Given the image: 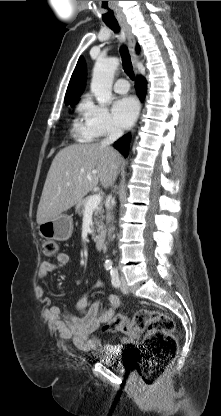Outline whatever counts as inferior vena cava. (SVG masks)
Returning <instances> with one entry per match:
<instances>
[{"label": "inferior vena cava", "mask_w": 221, "mask_h": 416, "mask_svg": "<svg viewBox=\"0 0 221 416\" xmlns=\"http://www.w3.org/2000/svg\"><path fill=\"white\" fill-rule=\"evenodd\" d=\"M123 134V131L118 128L112 126L109 131L106 138H104L101 141V146L105 148H109L110 150H114L110 145L113 144L118 138H120ZM107 210H110V207L107 208ZM108 221L110 220V214L108 213ZM108 236L111 238V229H108Z\"/></svg>", "instance_id": "inferior-vena-cava-1"}]
</instances>
